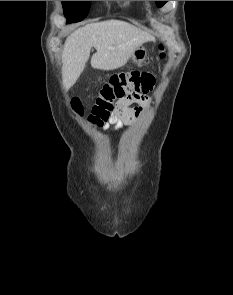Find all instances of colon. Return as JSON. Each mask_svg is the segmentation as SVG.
Wrapping results in <instances>:
<instances>
[{
    "instance_id": "obj_1",
    "label": "colon",
    "mask_w": 233,
    "mask_h": 295,
    "mask_svg": "<svg viewBox=\"0 0 233 295\" xmlns=\"http://www.w3.org/2000/svg\"><path fill=\"white\" fill-rule=\"evenodd\" d=\"M159 49L162 51L163 46ZM161 58L164 54L161 53ZM155 85L153 76L148 72L131 71L113 75L101 88L92 106L89 121L102 125L111 115L116 100L124 98H138L150 92ZM72 109L79 115L83 113L82 103L78 98L71 102Z\"/></svg>"
}]
</instances>
